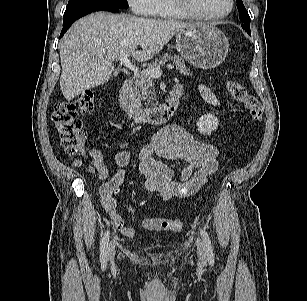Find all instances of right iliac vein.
<instances>
[{
    "mask_svg": "<svg viewBox=\"0 0 307 301\" xmlns=\"http://www.w3.org/2000/svg\"><path fill=\"white\" fill-rule=\"evenodd\" d=\"M115 257V245L113 242L110 243L107 251V258L110 262H113Z\"/></svg>",
    "mask_w": 307,
    "mask_h": 301,
    "instance_id": "63e3f726",
    "label": "right iliac vein"
}]
</instances>
